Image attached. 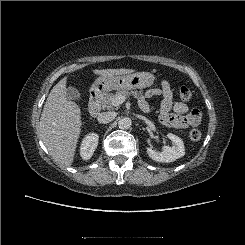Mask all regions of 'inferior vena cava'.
<instances>
[{
  "mask_svg": "<svg viewBox=\"0 0 245 245\" xmlns=\"http://www.w3.org/2000/svg\"><path fill=\"white\" fill-rule=\"evenodd\" d=\"M116 114L115 112H102L98 115L97 120L100 123L106 124L114 120Z\"/></svg>",
  "mask_w": 245,
  "mask_h": 245,
  "instance_id": "1",
  "label": "inferior vena cava"
}]
</instances>
